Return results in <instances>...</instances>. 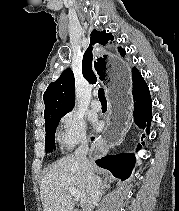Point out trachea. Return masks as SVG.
<instances>
[{
  "mask_svg": "<svg viewBox=\"0 0 179 211\" xmlns=\"http://www.w3.org/2000/svg\"><path fill=\"white\" fill-rule=\"evenodd\" d=\"M98 98H99L100 101H106L103 88L99 89V91H98Z\"/></svg>",
  "mask_w": 179,
  "mask_h": 211,
  "instance_id": "trachea-1",
  "label": "trachea"
}]
</instances>
